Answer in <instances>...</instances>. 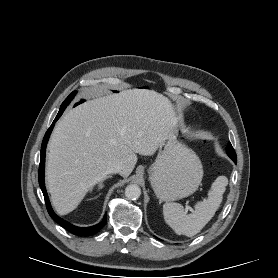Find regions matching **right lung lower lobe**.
Segmentation results:
<instances>
[{"mask_svg": "<svg viewBox=\"0 0 278 278\" xmlns=\"http://www.w3.org/2000/svg\"><path fill=\"white\" fill-rule=\"evenodd\" d=\"M65 108L66 107H60V110H59L55 120L53 121L52 125L50 126V128L48 129V131L46 132V134L44 136L42 146H41V157H40V165H39V173H38L39 174V185H40V188H41V190L43 192V195H44V199H45V202H46V207H47L48 213L53 218V220H55L63 228L67 229L69 232H71L73 234L82 235V236H90V235H93V234L97 233L106 224V220H107L106 215L104 216L102 222H100L97 225H94V226H91V227H86V228L74 226V225L68 223L67 221L63 220L62 218L58 217L54 213V211L51 208V205H50V202H49V199H48V195H47V192H46V189H45V184H44V167H45L46 145H47L49 136L51 134V131L54 127L55 122L62 115Z\"/></svg>", "mask_w": 278, "mask_h": 278, "instance_id": "98d812e1", "label": "right lung lower lobe"}]
</instances>
